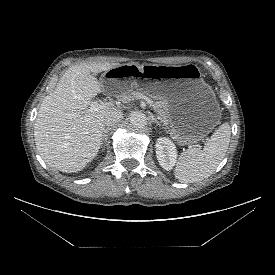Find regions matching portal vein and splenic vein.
Listing matches in <instances>:
<instances>
[{"mask_svg":"<svg viewBox=\"0 0 275 275\" xmlns=\"http://www.w3.org/2000/svg\"><path fill=\"white\" fill-rule=\"evenodd\" d=\"M111 103H98L97 101H94L90 104V107L88 109L89 112H96L100 109L107 108L111 106ZM189 148H192L191 145L188 146Z\"/></svg>","mask_w":275,"mask_h":275,"instance_id":"portal-vein-and-splenic-vein-1","label":"portal vein and splenic vein"}]
</instances>
